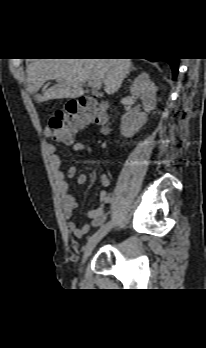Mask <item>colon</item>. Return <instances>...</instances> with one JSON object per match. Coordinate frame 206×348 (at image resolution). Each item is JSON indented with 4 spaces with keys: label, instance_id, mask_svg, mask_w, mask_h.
I'll return each mask as SVG.
<instances>
[{
    "label": "colon",
    "instance_id": "5ec220e1",
    "mask_svg": "<svg viewBox=\"0 0 206 348\" xmlns=\"http://www.w3.org/2000/svg\"><path fill=\"white\" fill-rule=\"evenodd\" d=\"M91 123L101 125L107 123L105 108L97 106L90 99L74 100L51 116L50 138L55 142L71 143L77 130Z\"/></svg>",
    "mask_w": 206,
    "mask_h": 348
}]
</instances>
